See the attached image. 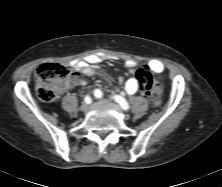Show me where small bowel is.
<instances>
[{
    "mask_svg": "<svg viewBox=\"0 0 222 187\" xmlns=\"http://www.w3.org/2000/svg\"><path fill=\"white\" fill-rule=\"evenodd\" d=\"M107 56L103 55V54H92L87 56L85 59L83 60H75L72 62V66L78 70L79 72L88 75V76H92L95 75L96 72V67L97 65L106 60ZM136 66L135 61L133 60H128L126 62V67L129 70H133ZM147 68L152 71L153 73H161L164 70V65L158 61V60H152L148 63ZM75 82L82 86L85 87V83L79 79H76ZM139 89V83L137 80L136 76H132L130 79L127 80L126 84H125V90L127 92V94H135Z\"/></svg>",
    "mask_w": 222,
    "mask_h": 187,
    "instance_id": "1",
    "label": "small bowel"
}]
</instances>
